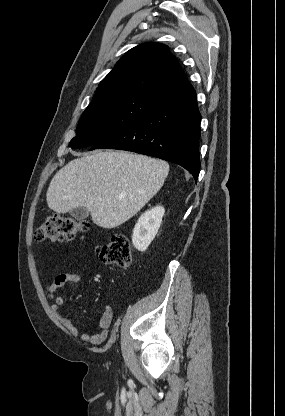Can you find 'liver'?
Listing matches in <instances>:
<instances>
[{
	"label": "liver",
	"mask_w": 285,
	"mask_h": 416,
	"mask_svg": "<svg viewBox=\"0 0 285 416\" xmlns=\"http://www.w3.org/2000/svg\"><path fill=\"white\" fill-rule=\"evenodd\" d=\"M168 172L163 160L95 150L55 174L46 194L48 208L57 214L85 208L93 224L111 230L140 212L162 188Z\"/></svg>",
	"instance_id": "1"
}]
</instances>
